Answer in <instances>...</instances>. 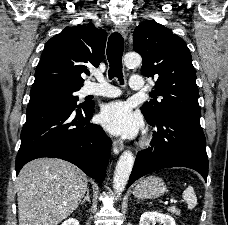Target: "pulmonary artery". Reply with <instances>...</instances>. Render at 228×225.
<instances>
[{"instance_id":"obj_1","label":"pulmonary artery","mask_w":228,"mask_h":225,"mask_svg":"<svg viewBox=\"0 0 228 225\" xmlns=\"http://www.w3.org/2000/svg\"><path fill=\"white\" fill-rule=\"evenodd\" d=\"M98 82H88L83 92L85 95L101 96V97H118L121 91L110 85L102 78H97ZM131 80H142V75H131ZM145 86V81H132L130 85V90H143Z\"/></svg>"}]
</instances>
